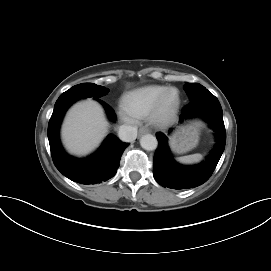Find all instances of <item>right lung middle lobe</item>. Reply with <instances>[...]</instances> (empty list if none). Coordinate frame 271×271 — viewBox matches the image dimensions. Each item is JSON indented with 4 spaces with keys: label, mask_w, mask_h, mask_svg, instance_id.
I'll use <instances>...</instances> for the list:
<instances>
[{
    "label": "right lung middle lobe",
    "mask_w": 271,
    "mask_h": 271,
    "mask_svg": "<svg viewBox=\"0 0 271 271\" xmlns=\"http://www.w3.org/2000/svg\"><path fill=\"white\" fill-rule=\"evenodd\" d=\"M109 92V89L98 86L93 83H82L76 86H73L66 92L60 95L59 99L61 98H73V99H80L83 97H94L100 98L106 95Z\"/></svg>",
    "instance_id": "obj_1"
}]
</instances>
